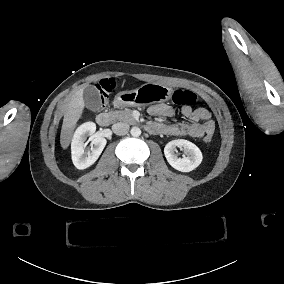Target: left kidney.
<instances>
[{"mask_svg":"<svg viewBox=\"0 0 284 284\" xmlns=\"http://www.w3.org/2000/svg\"><path fill=\"white\" fill-rule=\"evenodd\" d=\"M176 147L183 148L184 156L179 158L175 153ZM168 163L178 171L190 172L200 165L203 156L200 149L192 142L184 139L172 140L164 148Z\"/></svg>","mask_w":284,"mask_h":284,"instance_id":"left-kidney-1","label":"left kidney"}]
</instances>
